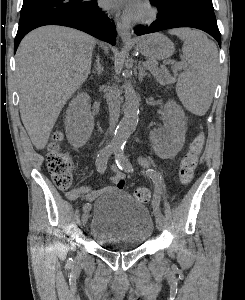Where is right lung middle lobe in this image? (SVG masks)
Here are the masks:
<instances>
[{
  "label": "right lung middle lobe",
  "mask_w": 245,
  "mask_h": 300,
  "mask_svg": "<svg viewBox=\"0 0 245 300\" xmlns=\"http://www.w3.org/2000/svg\"><path fill=\"white\" fill-rule=\"evenodd\" d=\"M96 0H24L19 26L65 12H83Z\"/></svg>",
  "instance_id": "obj_1"
}]
</instances>
